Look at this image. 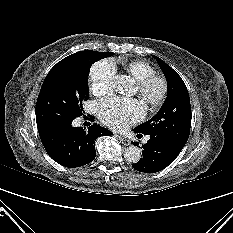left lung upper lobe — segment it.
Segmentation results:
<instances>
[{"instance_id": "5c2ea615", "label": "left lung upper lobe", "mask_w": 233, "mask_h": 233, "mask_svg": "<svg viewBox=\"0 0 233 233\" xmlns=\"http://www.w3.org/2000/svg\"><path fill=\"white\" fill-rule=\"evenodd\" d=\"M167 80V98L161 109L147 122L134 128L136 133L158 135L182 149L188 140L191 127L189 93L179 74L160 58L153 56Z\"/></svg>"}]
</instances>
